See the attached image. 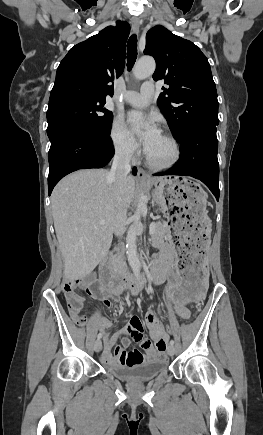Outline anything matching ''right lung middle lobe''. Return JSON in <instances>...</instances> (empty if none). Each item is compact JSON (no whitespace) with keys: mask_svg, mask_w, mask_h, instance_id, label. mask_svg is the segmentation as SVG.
<instances>
[{"mask_svg":"<svg viewBox=\"0 0 263 435\" xmlns=\"http://www.w3.org/2000/svg\"><path fill=\"white\" fill-rule=\"evenodd\" d=\"M105 103V100L77 99L49 106V139L64 128L84 129L99 136L110 135L113 114L104 107Z\"/></svg>","mask_w":263,"mask_h":435,"instance_id":"dd1d6c3e","label":"right lung middle lobe"}]
</instances>
